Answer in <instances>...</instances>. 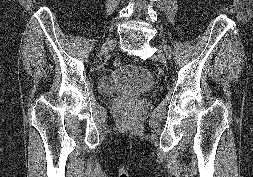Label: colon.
<instances>
[{
  "label": "colon",
  "instance_id": "obj_1",
  "mask_svg": "<svg viewBox=\"0 0 253 177\" xmlns=\"http://www.w3.org/2000/svg\"><path fill=\"white\" fill-rule=\"evenodd\" d=\"M121 64H122L121 59L115 58V59L113 60V65H114L115 67H119Z\"/></svg>",
  "mask_w": 253,
  "mask_h": 177
}]
</instances>
